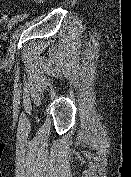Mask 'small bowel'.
Instances as JSON below:
<instances>
[{"label": "small bowel", "instance_id": "obj_1", "mask_svg": "<svg viewBox=\"0 0 131 177\" xmlns=\"http://www.w3.org/2000/svg\"><path fill=\"white\" fill-rule=\"evenodd\" d=\"M35 4H41L44 2V0H32ZM28 17V14H21L17 17L18 20H24ZM5 22H8L11 24V19L10 17L7 15V14H3L1 17H0V23H5Z\"/></svg>", "mask_w": 131, "mask_h": 177}]
</instances>
